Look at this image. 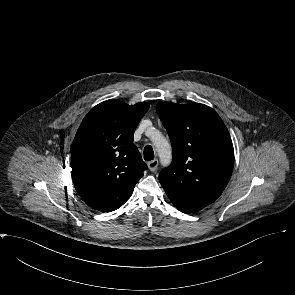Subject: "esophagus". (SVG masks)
Returning a JSON list of instances; mask_svg holds the SVG:
<instances>
[{"label":"esophagus","instance_id":"1","mask_svg":"<svg viewBox=\"0 0 295 295\" xmlns=\"http://www.w3.org/2000/svg\"><path fill=\"white\" fill-rule=\"evenodd\" d=\"M147 165H148V168L150 169V171L154 172L157 169L158 160L157 159H154V160L148 162Z\"/></svg>","mask_w":295,"mask_h":295}]
</instances>
